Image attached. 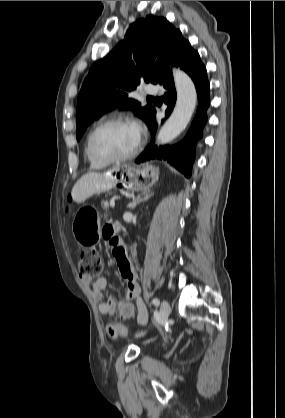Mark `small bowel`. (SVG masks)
Instances as JSON below:
<instances>
[{"label": "small bowel", "instance_id": "1", "mask_svg": "<svg viewBox=\"0 0 285 418\" xmlns=\"http://www.w3.org/2000/svg\"><path fill=\"white\" fill-rule=\"evenodd\" d=\"M104 241L112 253L119 245H124L114 228H109L105 231ZM116 264L120 275L125 279L127 296L135 299L136 310L135 306L129 301L116 302L113 298L105 300L103 293L108 279L101 277L93 281L91 285L92 296L99 302V312L105 316L116 314L124 320L132 319L136 316L140 323L145 324L148 321V312L144 302L140 298V287L136 272L137 261L129 258L121 261L116 259ZM82 281L85 283L90 282L88 279H83ZM110 337L116 339L121 337V335L118 333H110Z\"/></svg>", "mask_w": 285, "mask_h": 418}]
</instances>
